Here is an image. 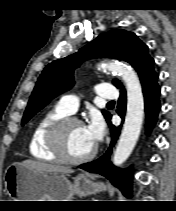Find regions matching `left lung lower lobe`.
I'll list each match as a JSON object with an SVG mask.
<instances>
[{
    "label": "left lung lower lobe",
    "mask_w": 176,
    "mask_h": 211,
    "mask_svg": "<svg viewBox=\"0 0 176 211\" xmlns=\"http://www.w3.org/2000/svg\"><path fill=\"white\" fill-rule=\"evenodd\" d=\"M158 74L154 77L144 81L142 83V90L144 93L145 101V112H146V130L147 133L154 127L157 121V115L160 109V87L157 84ZM126 109V91L121 90L120 98L118 100V114L124 119ZM111 116L108 118L107 122L111 127L112 141L108 151L99 159L82 164L81 169L88 172L99 173L106 178H108L112 184L118 187L125 196L130 197L132 192V168L127 170H120L114 167L110 162L109 158L112 152V147L114 146L118 135L120 133L121 127L116 128L110 122Z\"/></svg>",
    "instance_id": "0a47b994"
}]
</instances>
